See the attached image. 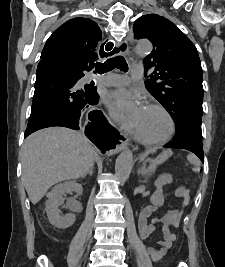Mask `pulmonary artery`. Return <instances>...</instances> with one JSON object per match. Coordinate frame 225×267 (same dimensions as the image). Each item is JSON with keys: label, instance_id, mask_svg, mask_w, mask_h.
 I'll return each instance as SVG.
<instances>
[{"label": "pulmonary artery", "instance_id": "obj_1", "mask_svg": "<svg viewBox=\"0 0 225 267\" xmlns=\"http://www.w3.org/2000/svg\"><path fill=\"white\" fill-rule=\"evenodd\" d=\"M144 68L142 64L133 65L130 77L120 74L94 75L91 79L105 86H123L131 80L137 81L143 77Z\"/></svg>", "mask_w": 225, "mask_h": 267}]
</instances>
